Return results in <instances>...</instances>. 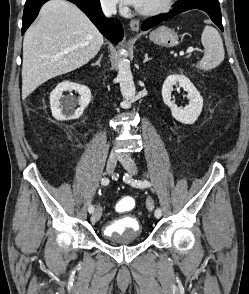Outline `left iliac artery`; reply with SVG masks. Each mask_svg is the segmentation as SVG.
<instances>
[{
	"label": "left iliac artery",
	"mask_w": 249,
	"mask_h": 294,
	"mask_svg": "<svg viewBox=\"0 0 249 294\" xmlns=\"http://www.w3.org/2000/svg\"><path fill=\"white\" fill-rule=\"evenodd\" d=\"M123 179L125 180V182H128L130 184H132L133 186H136V187H140V188H146V187H150L151 186V183L147 180H143V181H137V180H132L128 174H125V176L123 177ZM155 217L157 219H159L162 215V212L159 208H157L155 210Z\"/></svg>",
	"instance_id": "obj_1"
}]
</instances>
